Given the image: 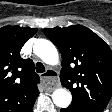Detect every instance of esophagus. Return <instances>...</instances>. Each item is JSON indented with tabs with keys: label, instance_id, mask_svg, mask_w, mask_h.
Returning a JSON list of instances; mask_svg holds the SVG:
<instances>
[{
	"label": "esophagus",
	"instance_id": "34e87169",
	"mask_svg": "<svg viewBox=\"0 0 112 112\" xmlns=\"http://www.w3.org/2000/svg\"><path fill=\"white\" fill-rule=\"evenodd\" d=\"M43 84L47 87L48 90H53L58 86L57 74L54 70H48L45 75L41 76Z\"/></svg>",
	"mask_w": 112,
	"mask_h": 112
}]
</instances>
